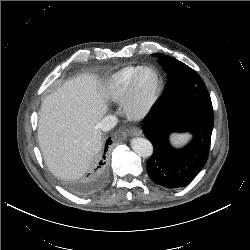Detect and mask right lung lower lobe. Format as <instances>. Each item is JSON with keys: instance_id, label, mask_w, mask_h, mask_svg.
<instances>
[{"instance_id": "right-lung-lower-lobe-1", "label": "right lung lower lobe", "mask_w": 250, "mask_h": 250, "mask_svg": "<svg viewBox=\"0 0 250 250\" xmlns=\"http://www.w3.org/2000/svg\"><path fill=\"white\" fill-rule=\"evenodd\" d=\"M112 143L111 139L109 138L106 141L104 155L102 160L99 162L97 168L95 169V172L91 178V182L87 187V191H92L98 189L101 184L104 182L106 178V152L108 150L109 145Z\"/></svg>"}]
</instances>
